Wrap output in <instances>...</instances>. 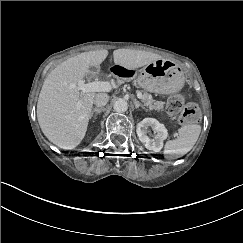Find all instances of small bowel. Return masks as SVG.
<instances>
[{"label": "small bowel", "mask_w": 243, "mask_h": 243, "mask_svg": "<svg viewBox=\"0 0 243 243\" xmlns=\"http://www.w3.org/2000/svg\"><path fill=\"white\" fill-rule=\"evenodd\" d=\"M106 62H108V63H113V60L111 59V58H106V60H105Z\"/></svg>", "instance_id": "1"}]
</instances>
